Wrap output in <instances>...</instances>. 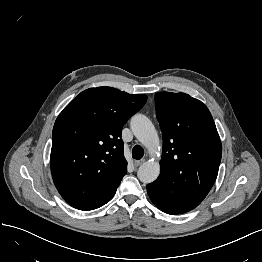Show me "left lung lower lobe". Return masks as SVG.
<instances>
[{
	"label": "left lung lower lobe",
	"instance_id": "1",
	"mask_svg": "<svg viewBox=\"0 0 262 262\" xmlns=\"http://www.w3.org/2000/svg\"><path fill=\"white\" fill-rule=\"evenodd\" d=\"M158 207V206H157ZM159 209H161L162 211H164V212H166V213H168V214H172V213H169V212H167V211H165V210H163L162 208H160V207H158Z\"/></svg>",
	"mask_w": 262,
	"mask_h": 262
}]
</instances>
